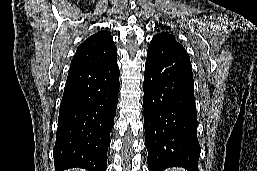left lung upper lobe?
Segmentation results:
<instances>
[{"label": "left lung upper lobe", "instance_id": "obj_1", "mask_svg": "<svg viewBox=\"0 0 257 171\" xmlns=\"http://www.w3.org/2000/svg\"><path fill=\"white\" fill-rule=\"evenodd\" d=\"M161 48H176L184 50L183 46L179 44L174 36L169 33H158L152 38L148 49H161Z\"/></svg>", "mask_w": 257, "mask_h": 171}]
</instances>
